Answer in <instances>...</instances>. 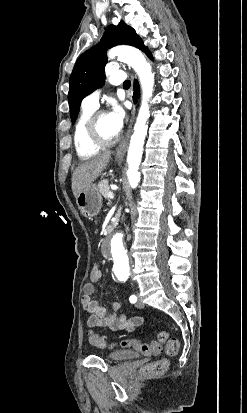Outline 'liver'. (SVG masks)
Wrapping results in <instances>:
<instances>
[{
    "mask_svg": "<svg viewBox=\"0 0 247 413\" xmlns=\"http://www.w3.org/2000/svg\"><path fill=\"white\" fill-rule=\"evenodd\" d=\"M110 154V150H106V152H101V154L85 160L82 164H78L72 174L74 196L85 190L89 184H92L93 180H96L97 176H100V172L104 170L110 160Z\"/></svg>",
    "mask_w": 247,
    "mask_h": 413,
    "instance_id": "1",
    "label": "liver"
}]
</instances>
